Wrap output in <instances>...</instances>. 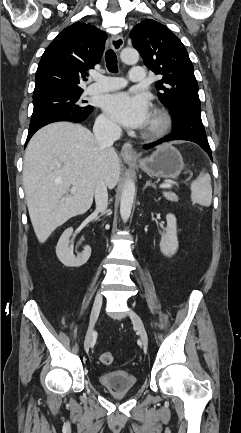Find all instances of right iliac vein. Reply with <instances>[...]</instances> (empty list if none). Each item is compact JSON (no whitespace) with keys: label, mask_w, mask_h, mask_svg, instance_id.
Returning a JSON list of instances; mask_svg holds the SVG:
<instances>
[{"label":"right iliac vein","mask_w":241,"mask_h":433,"mask_svg":"<svg viewBox=\"0 0 241 433\" xmlns=\"http://www.w3.org/2000/svg\"><path fill=\"white\" fill-rule=\"evenodd\" d=\"M101 306H102V295H101V292L98 291L95 295L93 308H92L91 316H90V323H89V327H88V330L86 332V336H85V340H84V349L85 350H88L90 345H91L92 335H93V327H94L95 322L98 319Z\"/></svg>","instance_id":"right-iliac-vein-1"}]
</instances>
